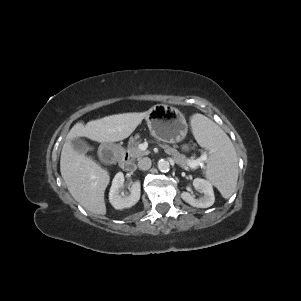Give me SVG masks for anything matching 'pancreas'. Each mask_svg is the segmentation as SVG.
<instances>
[{"mask_svg":"<svg viewBox=\"0 0 301 301\" xmlns=\"http://www.w3.org/2000/svg\"><path fill=\"white\" fill-rule=\"evenodd\" d=\"M140 142L141 141L139 140V138L137 136L134 138H131L128 142V153L132 158L137 159V160L141 159L144 155L149 154V151H147V150L142 151L139 149ZM160 147H162L168 155H171L173 157L176 164H178L179 166H181L184 169H187L189 166V162L193 160V159L186 158V156L183 154H180L175 147L172 148L166 144H164V145L160 144Z\"/></svg>","mask_w":301,"mask_h":301,"instance_id":"obj_1","label":"pancreas"}]
</instances>
